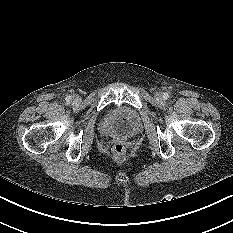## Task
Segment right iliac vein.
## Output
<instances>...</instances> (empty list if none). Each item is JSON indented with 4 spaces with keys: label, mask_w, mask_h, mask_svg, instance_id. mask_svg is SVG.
Segmentation results:
<instances>
[{
    "label": "right iliac vein",
    "mask_w": 233,
    "mask_h": 233,
    "mask_svg": "<svg viewBox=\"0 0 233 233\" xmlns=\"http://www.w3.org/2000/svg\"><path fill=\"white\" fill-rule=\"evenodd\" d=\"M74 100H75V101H78V100H79V97H78V96H74Z\"/></svg>",
    "instance_id": "1"
}]
</instances>
